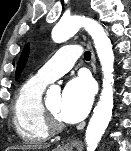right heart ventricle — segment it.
Instances as JSON below:
<instances>
[{
    "mask_svg": "<svg viewBox=\"0 0 131 151\" xmlns=\"http://www.w3.org/2000/svg\"><path fill=\"white\" fill-rule=\"evenodd\" d=\"M47 82L34 76L18 90L13 106V124L26 142L38 143L50 136L43 111V91Z\"/></svg>",
    "mask_w": 131,
    "mask_h": 151,
    "instance_id": "1",
    "label": "right heart ventricle"
}]
</instances>
